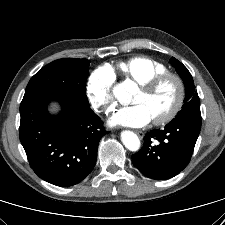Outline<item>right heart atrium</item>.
<instances>
[{
	"mask_svg": "<svg viewBox=\"0 0 225 225\" xmlns=\"http://www.w3.org/2000/svg\"><path fill=\"white\" fill-rule=\"evenodd\" d=\"M115 74L108 66H102L91 73L86 84L88 100L97 112L108 113L114 103Z\"/></svg>",
	"mask_w": 225,
	"mask_h": 225,
	"instance_id": "1",
	"label": "right heart atrium"
}]
</instances>
